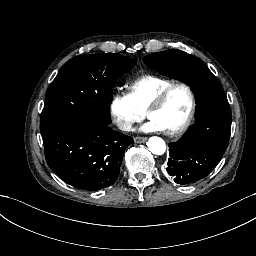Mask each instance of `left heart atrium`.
I'll return each instance as SVG.
<instances>
[{"instance_id":"39dd6f15","label":"left heart atrium","mask_w":256,"mask_h":256,"mask_svg":"<svg viewBox=\"0 0 256 256\" xmlns=\"http://www.w3.org/2000/svg\"><path fill=\"white\" fill-rule=\"evenodd\" d=\"M143 129L149 132L168 133L165 123L156 117H151L150 120L144 124Z\"/></svg>"}]
</instances>
